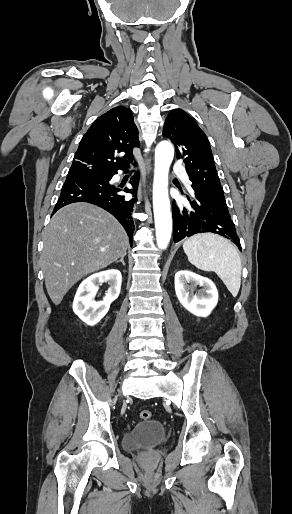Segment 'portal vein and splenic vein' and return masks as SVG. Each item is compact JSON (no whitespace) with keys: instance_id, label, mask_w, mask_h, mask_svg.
<instances>
[{"instance_id":"obj_1","label":"portal vein and splenic vein","mask_w":292,"mask_h":514,"mask_svg":"<svg viewBox=\"0 0 292 514\" xmlns=\"http://www.w3.org/2000/svg\"><path fill=\"white\" fill-rule=\"evenodd\" d=\"M101 252H105V250H101Z\"/></svg>"}]
</instances>
